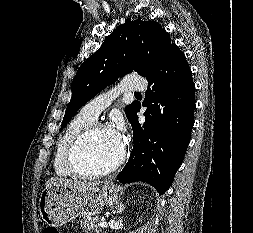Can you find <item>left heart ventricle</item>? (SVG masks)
<instances>
[{"instance_id": "obj_1", "label": "left heart ventricle", "mask_w": 253, "mask_h": 233, "mask_svg": "<svg viewBox=\"0 0 253 233\" xmlns=\"http://www.w3.org/2000/svg\"><path fill=\"white\" fill-rule=\"evenodd\" d=\"M122 144L117 142L108 129L97 130L79 151L77 162L84 170L103 169L120 155Z\"/></svg>"}]
</instances>
